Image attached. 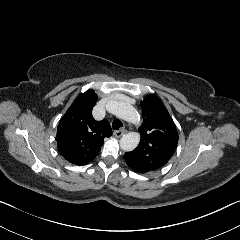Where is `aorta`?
<instances>
[{"label": "aorta", "mask_w": 240, "mask_h": 240, "mask_svg": "<svg viewBox=\"0 0 240 240\" xmlns=\"http://www.w3.org/2000/svg\"><path fill=\"white\" fill-rule=\"evenodd\" d=\"M107 110L135 126L141 124L138 111L129 104L123 102H109L107 104ZM140 140L141 133L138 131H131L122 136L120 139V146L124 151H133L139 145Z\"/></svg>", "instance_id": "1"}]
</instances>
